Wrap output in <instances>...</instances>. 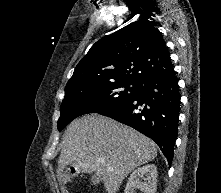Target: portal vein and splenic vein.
Instances as JSON below:
<instances>
[{
  "label": "portal vein and splenic vein",
  "mask_w": 221,
  "mask_h": 193,
  "mask_svg": "<svg viewBox=\"0 0 221 193\" xmlns=\"http://www.w3.org/2000/svg\"><path fill=\"white\" fill-rule=\"evenodd\" d=\"M99 162H100V163H104V160L100 159ZM107 170H108V171H113V168H112L111 166H108V167H107Z\"/></svg>",
  "instance_id": "18ae733b"
}]
</instances>
